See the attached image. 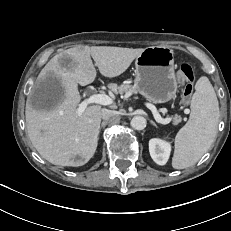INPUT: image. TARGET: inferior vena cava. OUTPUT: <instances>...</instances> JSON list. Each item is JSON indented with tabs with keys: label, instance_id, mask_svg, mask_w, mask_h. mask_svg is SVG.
<instances>
[{
	"label": "inferior vena cava",
	"instance_id": "obj_1",
	"mask_svg": "<svg viewBox=\"0 0 231 231\" xmlns=\"http://www.w3.org/2000/svg\"><path fill=\"white\" fill-rule=\"evenodd\" d=\"M116 111L109 109H102L101 118L104 120H108L110 117L116 115Z\"/></svg>",
	"mask_w": 231,
	"mask_h": 231
}]
</instances>
